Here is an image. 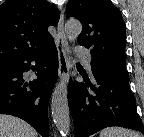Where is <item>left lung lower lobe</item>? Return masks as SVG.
<instances>
[{
  "instance_id": "left-lung-lower-lobe-1",
  "label": "left lung lower lobe",
  "mask_w": 144,
  "mask_h": 137,
  "mask_svg": "<svg viewBox=\"0 0 144 137\" xmlns=\"http://www.w3.org/2000/svg\"><path fill=\"white\" fill-rule=\"evenodd\" d=\"M91 69L95 86L86 81V84L69 83L68 105L76 137H88L108 126L126 127L144 135V126L129 87V75L94 62H91Z\"/></svg>"
}]
</instances>
